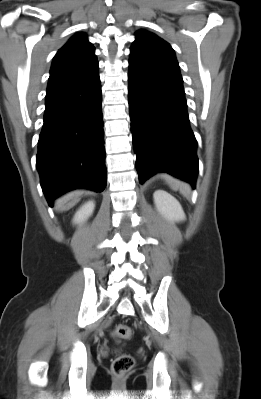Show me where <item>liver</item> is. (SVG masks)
<instances>
[{
	"mask_svg": "<svg viewBox=\"0 0 261 399\" xmlns=\"http://www.w3.org/2000/svg\"><path fill=\"white\" fill-rule=\"evenodd\" d=\"M80 194H81L80 191L71 192V193L67 194L66 196H64L59 202L61 203V202H65V201H67V200L76 198V197H78Z\"/></svg>",
	"mask_w": 261,
	"mask_h": 399,
	"instance_id": "6515ba94",
	"label": "liver"
}]
</instances>
